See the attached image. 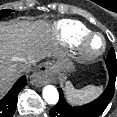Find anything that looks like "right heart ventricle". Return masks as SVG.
Here are the masks:
<instances>
[{
	"instance_id": "1",
	"label": "right heart ventricle",
	"mask_w": 117,
	"mask_h": 117,
	"mask_svg": "<svg viewBox=\"0 0 117 117\" xmlns=\"http://www.w3.org/2000/svg\"><path fill=\"white\" fill-rule=\"evenodd\" d=\"M56 32L62 43L76 46L83 36L91 33V30L79 21L61 20L56 24Z\"/></svg>"
}]
</instances>
